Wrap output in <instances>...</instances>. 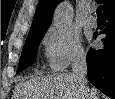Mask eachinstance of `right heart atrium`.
<instances>
[{"label": "right heart atrium", "mask_w": 115, "mask_h": 99, "mask_svg": "<svg viewBox=\"0 0 115 99\" xmlns=\"http://www.w3.org/2000/svg\"><path fill=\"white\" fill-rule=\"evenodd\" d=\"M42 43L53 71H61L85 58L79 35L71 29L51 27L43 36Z\"/></svg>", "instance_id": "1"}]
</instances>
